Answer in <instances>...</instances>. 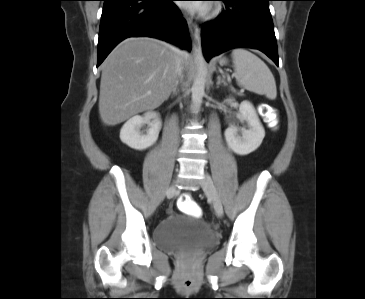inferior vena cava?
Returning <instances> with one entry per match:
<instances>
[{
	"label": "inferior vena cava",
	"mask_w": 365,
	"mask_h": 299,
	"mask_svg": "<svg viewBox=\"0 0 365 299\" xmlns=\"http://www.w3.org/2000/svg\"><path fill=\"white\" fill-rule=\"evenodd\" d=\"M178 53L181 55L182 52L178 51ZM176 72L178 75H181L182 72V67H181V60L177 61V67H176Z\"/></svg>",
	"instance_id": "obj_1"
}]
</instances>
